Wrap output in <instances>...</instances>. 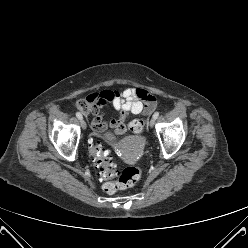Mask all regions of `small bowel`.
I'll list each match as a JSON object with an SVG mask.
<instances>
[{
  "label": "small bowel",
  "instance_id": "obj_1",
  "mask_svg": "<svg viewBox=\"0 0 248 248\" xmlns=\"http://www.w3.org/2000/svg\"><path fill=\"white\" fill-rule=\"evenodd\" d=\"M86 99L88 103L95 104V118L91 124L95 134L103 133L108 127L118 135L124 134L127 128L130 129L131 123H127L130 115H139L145 112L151 114L158 106L157 101L150 98L149 92L144 88L129 87L122 92L107 90L98 95L91 93L87 95ZM107 104H111L119 113L118 119H112L109 122L105 120L101 108Z\"/></svg>",
  "mask_w": 248,
  "mask_h": 248
}]
</instances>
